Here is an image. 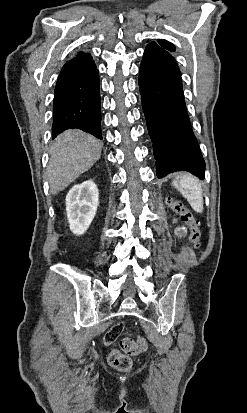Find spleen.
Returning a JSON list of instances; mask_svg holds the SVG:
<instances>
[{
	"mask_svg": "<svg viewBox=\"0 0 247 413\" xmlns=\"http://www.w3.org/2000/svg\"><path fill=\"white\" fill-rule=\"evenodd\" d=\"M175 188H178L184 198H187L190 202L192 209L196 213H202L203 211V196H202V184L196 176L188 174V172H181L176 176L173 182Z\"/></svg>",
	"mask_w": 247,
	"mask_h": 413,
	"instance_id": "3e777b00",
	"label": "spleen"
}]
</instances>
